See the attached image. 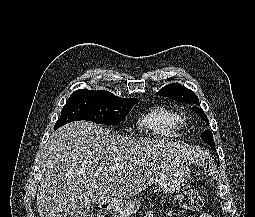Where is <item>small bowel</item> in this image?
<instances>
[{
  "instance_id": "obj_1",
  "label": "small bowel",
  "mask_w": 255,
  "mask_h": 217,
  "mask_svg": "<svg viewBox=\"0 0 255 217\" xmlns=\"http://www.w3.org/2000/svg\"><path fill=\"white\" fill-rule=\"evenodd\" d=\"M145 217H154L153 212H148ZM199 217H214L211 213H203Z\"/></svg>"
}]
</instances>
